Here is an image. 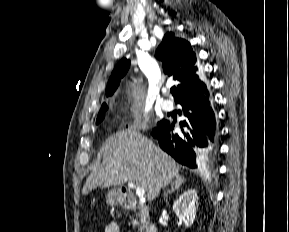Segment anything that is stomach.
Returning <instances> with one entry per match:
<instances>
[{
  "instance_id": "stomach-1",
  "label": "stomach",
  "mask_w": 289,
  "mask_h": 232,
  "mask_svg": "<svg viewBox=\"0 0 289 232\" xmlns=\"http://www.w3.org/2000/svg\"><path fill=\"white\" fill-rule=\"evenodd\" d=\"M122 200V197L120 194L116 191H111L107 195V202L109 204H116Z\"/></svg>"
}]
</instances>
